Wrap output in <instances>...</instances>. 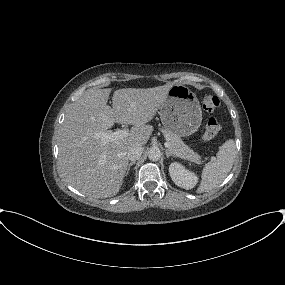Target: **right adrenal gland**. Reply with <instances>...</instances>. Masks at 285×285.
I'll return each instance as SVG.
<instances>
[{
	"label": "right adrenal gland",
	"instance_id": "right-adrenal-gland-1",
	"mask_svg": "<svg viewBox=\"0 0 285 285\" xmlns=\"http://www.w3.org/2000/svg\"><path fill=\"white\" fill-rule=\"evenodd\" d=\"M134 164H135V161H132V162H130V163L128 164L127 169H126V175L129 174L130 168H131V166L134 165Z\"/></svg>",
	"mask_w": 285,
	"mask_h": 285
}]
</instances>
